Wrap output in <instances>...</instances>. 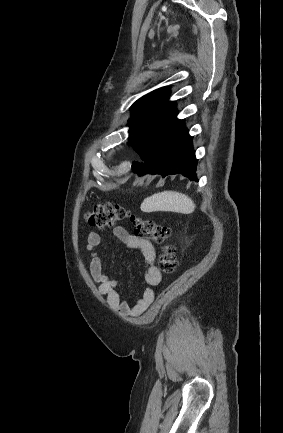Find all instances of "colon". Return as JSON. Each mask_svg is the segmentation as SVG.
<instances>
[{
	"label": "colon",
	"mask_w": 283,
	"mask_h": 433,
	"mask_svg": "<svg viewBox=\"0 0 283 433\" xmlns=\"http://www.w3.org/2000/svg\"><path fill=\"white\" fill-rule=\"evenodd\" d=\"M85 221L89 226L103 230L129 219L137 238L153 240L161 245L159 268L162 273L173 274L178 266V258L174 246L169 242L171 230L153 220L144 219L131 214L125 207L104 203L93 206L86 214Z\"/></svg>",
	"instance_id": "5ec220e1"
}]
</instances>
